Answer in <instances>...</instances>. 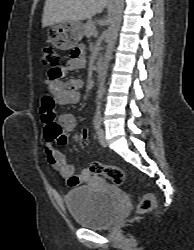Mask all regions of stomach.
<instances>
[{"label":"stomach","mask_w":194,"mask_h":250,"mask_svg":"<svg viewBox=\"0 0 194 250\" xmlns=\"http://www.w3.org/2000/svg\"><path fill=\"white\" fill-rule=\"evenodd\" d=\"M51 43L60 50L74 48L84 35V26L79 21H63L50 25Z\"/></svg>","instance_id":"obj_1"}]
</instances>
